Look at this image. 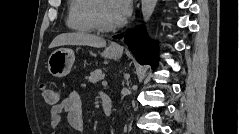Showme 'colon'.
Instances as JSON below:
<instances>
[{
    "label": "colon",
    "instance_id": "colon-1",
    "mask_svg": "<svg viewBox=\"0 0 239 134\" xmlns=\"http://www.w3.org/2000/svg\"><path fill=\"white\" fill-rule=\"evenodd\" d=\"M41 91L44 101L51 106H55L58 103L59 95L58 92L45 84L41 85Z\"/></svg>",
    "mask_w": 239,
    "mask_h": 134
}]
</instances>
